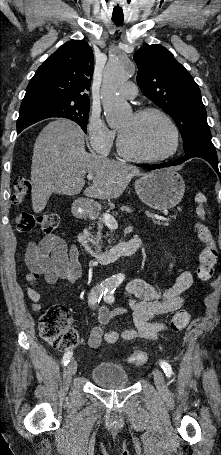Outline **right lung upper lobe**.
Instances as JSON below:
<instances>
[{"label": "right lung upper lobe", "mask_w": 221, "mask_h": 455, "mask_svg": "<svg viewBox=\"0 0 221 455\" xmlns=\"http://www.w3.org/2000/svg\"><path fill=\"white\" fill-rule=\"evenodd\" d=\"M94 55L85 40L62 45L38 68L27 86L21 106L39 102H89Z\"/></svg>", "instance_id": "cb5924a9"}]
</instances>
